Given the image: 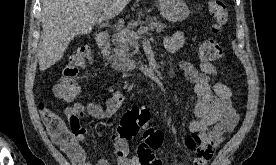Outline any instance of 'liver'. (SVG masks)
Returning a JSON list of instances; mask_svg holds the SVG:
<instances>
[{
	"label": "liver",
	"instance_id": "1",
	"mask_svg": "<svg viewBox=\"0 0 276 165\" xmlns=\"http://www.w3.org/2000/svg\"><path fill=\"white\" fill-rule=\"evenodd\" d=\"M131 0H43V33L38 50L39 69L60 61L77 35L88 34L96 23L119 15ZM101 11L100 16H96Z\"/></svg>",
	"mask_w": 276,
	"mask_h": 165
}]
</instances>
